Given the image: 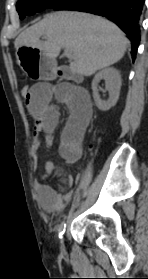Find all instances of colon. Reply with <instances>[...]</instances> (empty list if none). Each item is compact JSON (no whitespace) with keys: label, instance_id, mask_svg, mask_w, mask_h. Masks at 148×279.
<instances>
[{"label":"colon","instance_id":"1","mask_svg":"<svg viewBox=\"0 0 148 279\" xmlns=\"http://www.w3.org/2000/svg\"><path fill=\"white\" fill-rule=\"evenodd\" d=\"M30 88L28 85H23L20 89V93L25 99L30 95Z\"/></svg>","mask_w":148,"mask_h":279}]
</instances>
